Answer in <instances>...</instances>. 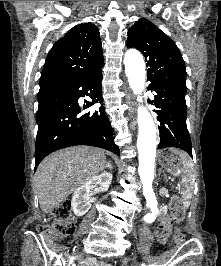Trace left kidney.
I'll list each match as a JSON object with an SVG mask.
<instances>
[{
	"label": "left kidney",
	"mask_w": 221,
	"mask_h": 266,
	"mask_svg": "<svg viewBox=\"0 0 221 266\" xmlns=\"http://www.w3.org/2000/svg\"><path fill=\"white\" fill-rule=\"evenodd\" d=\"M162 212H163L164 214L167 213V206L163 207Z\"/></svg>",
	"instance_id": "5707ae66"
}]
</instances>
